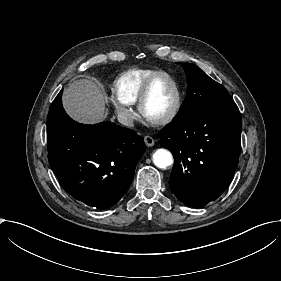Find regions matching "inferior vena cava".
<instances>
[{
    "label": "inferior vena cava",
    "instance_id": "602c4592",
    "mask_svg": "<svg viewBox=\"0 0 281 281\" xmlns=\"http://www.w3.org/2000/svg\"><path fill=\"white\" fill-rule=\"evenodd\" d=\"M117 120L119 123H121L124 126H128V127L134 126L133 119L125 113H119L117 115Z\"/></svg>",
    "mask_w": 281,
    "mask_h": 281
}]
</instances>
